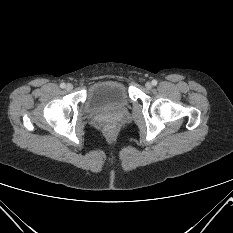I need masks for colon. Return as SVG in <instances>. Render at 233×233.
I'll use <instances>...</instances> for the list:
<instances>
[{
	"mask_svg": "<svg viewBox=\"0 0 233 233\" xmlns=\"http://www.w3.org/2000/svg\"><path fill=\"white\" fill-rule=\"evenodd\" d=\"M103 132L107 136L113 135V133H114V126L111 123L105 124V126L103 127Z\"/></svg>",
	"mask_w": 233,
	"mask_h": 233,
	"instance_id": "1",
	"label": "colon"
}]
</instances>
